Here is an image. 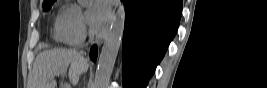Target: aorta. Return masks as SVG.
<instances>
[{
	"label": "aorta",
	"mask_w": 267,
	"mask_h": 88,
	"mask_svg": "<svg viewBox=\"0 0 267 88\" xmlns=\"http://www.w3.org/2000/svg\"><path fill=\"white\" fill-rule=\"evenodd\" d=\"M78 1L82 4L87 2V0ZM124 24L125 9L120 4L105 38L92 88H107L121 44Z\"/></svg>",
	"instance_id": "762f6f07"
}]
</instances>
